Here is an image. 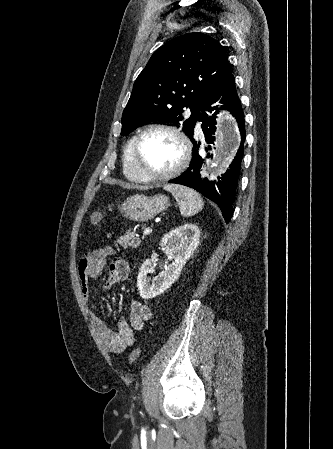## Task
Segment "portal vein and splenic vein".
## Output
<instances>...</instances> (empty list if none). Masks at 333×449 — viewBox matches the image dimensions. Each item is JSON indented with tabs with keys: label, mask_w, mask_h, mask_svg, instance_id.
Instances as JSON below:
<instances>
[{
	"label": "portal vein and splenic vein",
	"mask_w": 333,
	"mask_h": 449,
	"mask_svg": "<svg viewBox=\"0 0 333 449\" xmlns=\"http://www.w3.org/2000/svg\"><path fill=\"white\" fill-rule=\"evenodd\" d=\"M151 232H152V229H151V228H146V229L143 231V235H149Z\"/></svg>",
	"instance_id": "obj_1"
}]
</instances>
